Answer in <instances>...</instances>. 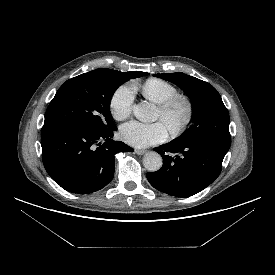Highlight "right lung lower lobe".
Wrapping results in <instances>:
<instances>
[{
  "mask_svg": "<svg viewBox=\"0 0 275 275\" xmlns=\"http://www.w3.org/2000/svg\"><path fill=\"white\" fill-rule=\"evenodd\" d=\"M117 127L92 130L69 123L44 124L42 161L50 177L63 189L88 194L105 187L114 177L115 154L133 148L114 141Z\"/></svg>",
  "mask_w": 275,
  "mask_h": 275,
  "instance_id": "1",
  "label": "right lung lower lobe"
}]
</instances>
